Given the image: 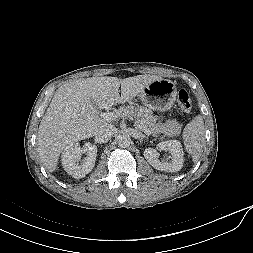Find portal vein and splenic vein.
<instances>
[{"label": "portal vein and splenic vein", "mask_w": 253, "mask_h": 253, "mask_svg": "<svg viewBox=\"0 0 253 253\" xmlns=\"http://www.w3.org/2000/svg\"><path fill=\"white\" fill-rule=\"evenodd\" d=\"M117 118V115L115 114V113H113V112H106V113H104V115H103V119L105 120V121H114L115 119ZM137 127L140 129V130H142L146 135H150L151 134V132H150V130L148 129V128H143V127H141L140 125H137Z\"/></svg>", "instance_id": "1"}]
</instances>
